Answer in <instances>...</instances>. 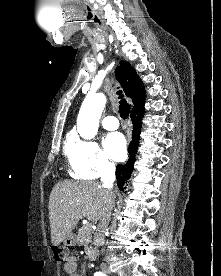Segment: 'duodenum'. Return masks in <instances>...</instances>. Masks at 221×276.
Returning <instances> with one entry per match:
<instances>
[{"label": "duodenum", "mask_w": 221, "mask_h": 276, "mask_svg": "<svg viewBox=\"0 0 221 276\" xmlns=\"http://www.w3.org/2000/svg\"><path fill=\"white\" fill-rule=\"evenodd\" d=\"M88 256H89V258L90 259H95L96 258V252H95V250H93V249H89L88 250Z\"/></svg>", "instance_id": "duodenum-1"}]
</instances>
